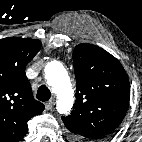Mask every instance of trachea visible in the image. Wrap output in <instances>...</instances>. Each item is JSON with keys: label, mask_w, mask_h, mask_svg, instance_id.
I'll use <instances>...</instances> for the list:
<instances>
[{"label": "trachea", "mask_w": 142, "mask_h": 142, "mask_svg": "<svg viewBox=\"0 0 142 142\" xmlns=\"http://www.w3.org/2000/svg\"><path fill=\"white\" fill-rule=\"evenodd\" d=\"M50 96H51V92L47 86L42 85L39 87V89L37 91V95H36L38 100H40L42 102H46L50 99Z\"/></svg>", "instance_id": "trachea-1"}]
</instances>
